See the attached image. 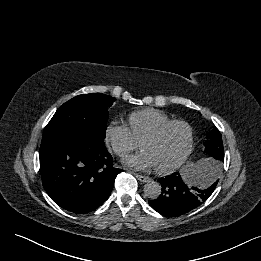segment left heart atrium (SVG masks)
<instances>
[{"label": "left heart atrium", "mask_w": 261, "mask_h": 261, "mask_svg": "<svg viewBox=\"0 0 261 261\" xmlns=\"http://www.w3.org/2000/svg\"><path fill=\"white\" fill-rule=\"evenodd\" d=\"M124 163L127 167L134 170H146L155 167L152 157L144 150L129 156Z\"/></svg>", "instance_id": "left-heart-atrium-1"}]
</instances>
